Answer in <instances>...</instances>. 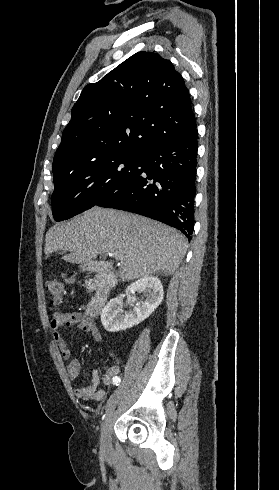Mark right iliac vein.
Wrapping results in <instances>:
<instances>
[{"label": "right iliac vein", "instance_id": "1", "mask_svg": "<svg viewBox=\"0 0 279 490\" xmlns=\"http://www.w3.org/2000/svg\"><path fill=\"white\" fill-rule=\"evenodd\" d=\"M120 396V389L116 390L108 399L106 404L105 418L101 428L100 451L103 455H109L112 452L111 446V429L114 423V411Z\"/></svg>", "mask_w": 279, "mask_h": 490}]
</instances>
